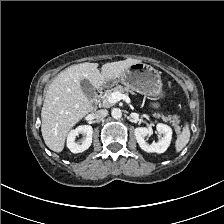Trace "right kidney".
<instances>
[{"mask_svg": "<svg viewBox=\"0 0 224 224\" xmlns=\"http://www.w3.org/2000/svg\"><path fill=\"white\" fill-rule=\"evenodd\" d=\"M82 134L84 138L81 142H76V137ZM93 128L90 125H81L72 130L67 137V147L72 153H81L87 150L92 143Z\"/></svg>", "mask_w": 224, "mask_h": 224, "instance_id": "right-kidney-1", "label": "right kidney"}]
</instances>
